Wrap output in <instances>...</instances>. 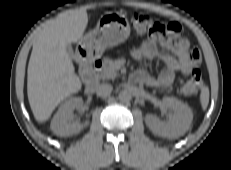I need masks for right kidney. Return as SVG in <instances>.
I'll list each match as a JSON object with an SVG mask.
<instances>
[{"mask_svg":"<svg viewBox=\"0 0 231 170\" xmlns=\"http://www.w3.org/2000/svg\"><path fill=\"white\" fill-rule=\"evenodd\" d=\"M82 106L83 100L79 97L71 98L63 103L51 121L50 127L53 133L61 137L80 133L88 125V122L82 124L79 121L71 122V120L73 111L82 108Z\"/></svg>","mask_w":231,"mask_h":170,"instance_id":"right-kidney-1","label":"right kidney"}]
</instances>
